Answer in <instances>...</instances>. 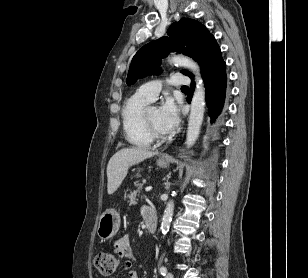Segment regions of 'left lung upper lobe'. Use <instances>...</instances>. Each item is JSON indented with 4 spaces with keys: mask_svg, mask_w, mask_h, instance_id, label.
Instances as JSON below:
<instances>
[{
    "mask_svg": "<svg viewBox=\"0 0 308 278\" xmlns=\"http://www.w3.org/2000/svg\"><path fill=\"white\" fill-rule=\"evenodd\" d=\"M162 37L143 46L133 57L126 83L134 84L140 77L157 73L159 61L170 52L183 53L198 62L202 76L223 62L214 36L200 22L188 18L174 22ZM184 75L193 78L186 70Z\"/></svg>",
    "mask_w": 308,
    "mask_h": 278,
    "instance_id": "left-lung-upper-lobe-1",
    "label": "left lung upper lobe"
}]
</instances>
